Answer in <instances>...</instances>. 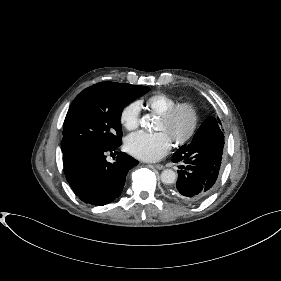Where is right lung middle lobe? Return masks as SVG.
<instances>
[{"instance_id":"1","label":"right lung middle lobe","mask_w":281,"mask_h":281,"mask_svg":"<svg viewBox=\"0 0 281 281\" xmlns=\"http://www.w3.org/2000/svg\"><path fill=\"white\" fill-rule=\"evenodd\" d=\"M148 91L150 88L146 86L101 82L79 93L63 124V159L83 149L121 142L123 108Z\"/></svg>"}]
</instances>
